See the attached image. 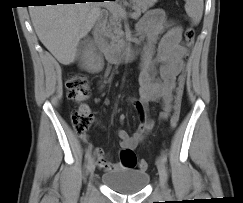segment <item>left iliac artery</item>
I'll return each mask as SVG.
<instances>
[{
	"mask_svg": "<svg viewBox=\"0 0 243 203\" xmlns=\"http://www.w3.org/2000/svg\"><path fill=\"white\" fill-rule=\"evenodd\" d=\"M161 159H162V161H163L164 163L167 162V155H166L165 152H162V153H161Z\"/></svg>",
	"mask_w": 243,
	"mask_h": 203,
	"instance_id": "left-iliac-artery-1",
	"label": "left iliac artery"
}]
</instances>
